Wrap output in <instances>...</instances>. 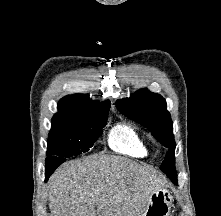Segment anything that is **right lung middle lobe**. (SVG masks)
<instances>
[{
    "instance_id": "1",
    "label": "right lung middle lobe",
    "mask_w": 221,
    "mask_h": 216,
    "mask_svg": "<svg viewBox=\"0 0 221 216\" xmlns=\"http://www.w3.org/2000/svg\"><path fill=\"white\" fill-rule=\"evenodd\" d=\"M107 118L108 112L52 126L48 137L46 168L59 166L66 158L87 152L98 139Z\"/></svg>"
}]
</instances>
